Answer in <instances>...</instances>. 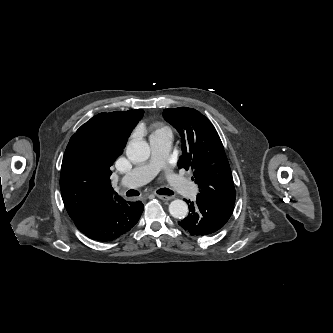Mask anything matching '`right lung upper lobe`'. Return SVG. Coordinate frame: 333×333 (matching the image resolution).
I'll list each match as a JSON object with an SVG mask.
<instances>
[{
	"instance_id": "right-lung-upper-lobe-1",
	"label": "right lung upper lobe",
	"mask_w": 333,
	"mask_h": 333,
	"mask_svg": "<svg viewBox=\"0 0 333 333\" xmlns=\"http://www.w3.org/2000/svg\"><path fill=\"white\" fill-rule=\"evenodd\" d=\"M143 113L142 109L100 113L71 137L63 156L60 189L72 220L90 217L124 201L111 187L110 168ZM98 128L103 133L99 134Z\"/></svg>"
}]
</instances>
